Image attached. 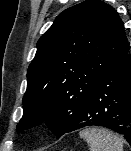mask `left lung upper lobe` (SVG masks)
<instances>
[{
  "instance_id": "1",
  "label": "left lung upper lobe",
  "mask_w": 131,
  "mask_h": 151,
  "mask_svg": "<svg viewBox=\"0 0 131 151\" xmlns=\"http://www.w3.org/2000/svg\"><path fill=\"white\" fill-rule=\"evenodd\" d=\"M128 51L123 22L110 5L87 0L64 10L37 42L17 129L46 121L56 135L65 134L100 75Z\"/></svg>"
}]
</instances>
